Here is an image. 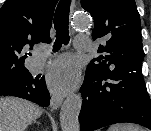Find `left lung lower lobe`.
I'll list each match as a JSON object with an SVG mask.
<instances>
[{"instance_id":"1","label":"left lung lower lobe","mask_w":151,"mask_h":131,"mask_svg":"<svg viewBox=\"0 0 151 131\" xmlns=\"http://www.w3.org/2000/svg\"><path fill=\"white\" fill-rule=\"evenodd\" d=\"M142 67L107 78L86 71L79 115L80 131L129 122L151 130V102L142 76Z\"/></svg>"}]
</instances>
